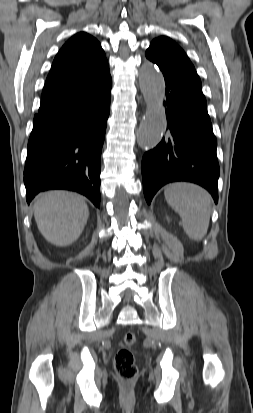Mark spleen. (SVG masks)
Masks as SVG:
<instances>
[{"label": "spleen", "instance_id": "3e777b00", "mask_svg": "<svg viewBox=\"0 0 253 413\" xmlns=\"http://www.w3.org/2000/svg\"><path fill=\"white\" fill-rule=\"evenodd\" d=\"M167 203L181 217L187 236L200 241L207 233L211 202L210 194L200 186L190 183H174L164 191Z\"/></svg>", "mask_w": 253, "mask_h": 413}]
</instances>
